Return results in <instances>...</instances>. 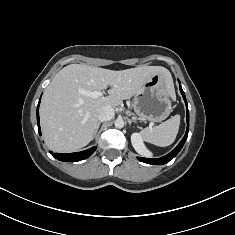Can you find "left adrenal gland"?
Returning a JSON list of instances; mask_svg holds the SVG:
<instances>
[{"label": "left adrenal gland", "instance_id": "left-adrenal-gland-1", "mask_svg": "<svg viewBox=\"0 0 235 235\" xmlns=\"http://www.w3.org/2000/svg\"><path fill=\"white\" fill-rule=\"evenodd\" d=\"M127 120H128V123H129L130 126H131L132 122H134L133 120H131L129 118H127Z\"/></svg>", "mask_w": 235, "mask_h": 235}]
</instances>
